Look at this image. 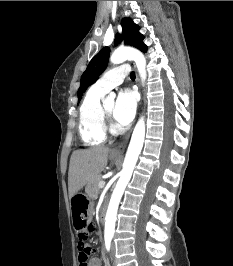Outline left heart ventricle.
<instances>
[{
  "label": "left heart ventricle",
  "mask_w": 233,
  "mask_h": 266,
  "mask_svg": "<svg viewBox=\"0 0 233 266\" xmlns=\"http://www.w3.org/2000/svg\"><path fill=\"white\" fill-rule=\"evenodd\" d=\"M104 107H105L107 113L112 116L114 113V109H115V103L113 101L108 102L104 105Z\"/></svg>",
  "instance_id": "obj_1"
}]
</instances>
